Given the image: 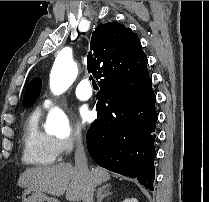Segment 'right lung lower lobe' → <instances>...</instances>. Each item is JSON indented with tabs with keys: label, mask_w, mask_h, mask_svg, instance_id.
<instances>
[{
	"label": "right lung lower lobe",
	"mask_w": 209,
	"mask_h": 202,
	"mask_svg": "<svg viewBox=\"0 0 209 202\" xmlns=\"http://www.w3.org/2000/svg\"><path fill=\"white\" fill-rule=\"evenodd\" d=\"M97 99L98 117L87 131L89 154L101 167L137 178L153 191L158 114L148 71L120 89L100 87Z\"/></svg>",
	"instance_id": "right-lung-lower-lobe-1"
}]
</instances>
